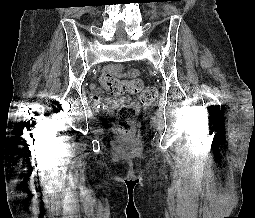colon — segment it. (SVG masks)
I'll use <instances>...</instances> for the list:
<instances>
[{"mask_svg": "<svg viewBox=\"0 0 255 218\" xmlns=\"http://www.w3.org/2000/svg\"><path fill=\"white\" fill-rule=\"evenodd\" d=\"M101 81L104 88L114 96L135 94L141 91V101L143 103L149 104L156 99V89L154 87L142 89V83L138 79L119 80L114 77L103 76ZM138 112L139 105L134 101H127L118 109L117 115L120 131L128 133L132 130Z\"/></svg>", "mask_w": 255, "mask_h": 218, "instance_id": "colon-1", "label": "colon"}]
</instances>
